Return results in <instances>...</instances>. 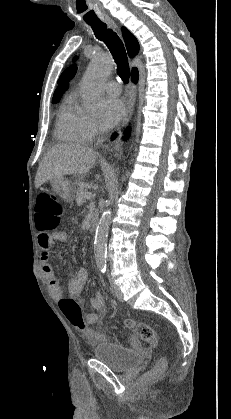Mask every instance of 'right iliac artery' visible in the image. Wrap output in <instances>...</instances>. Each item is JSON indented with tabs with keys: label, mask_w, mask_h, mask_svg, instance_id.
Wrapping results in <instances>:
<instances>
[{
	"label": "right iliac artery",
	"mask_w": 231,
	"mask_h": 419,
	"mask_svg": "<svg viewBox=\"0 0 231 419\" xmlns=\"http://www.w3.org/2000/svg\"><path fill=\"white\" fill-rule=\"evenodd\" d=\"M99 269L102 273H105L106 271V265H99Z\"/></svg>",
	"instance_id": "obj_1"
}]
</instances>
